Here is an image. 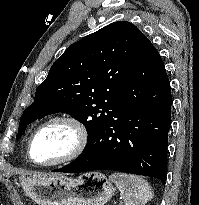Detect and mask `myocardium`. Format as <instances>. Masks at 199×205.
Returning <instances> with one entry per match:
<instances>
[{
	"label": "myocardium",
	"instance_id": "obj_1",
	"mask_svg": "<svg viewBox=\"0 0 199 205\" xmlns=\"http://www.w3.org/2000/svg\"><path fill=\"white\" fill-rule=\"evenodd\" d=\"M53 124H63L69 126L72 129L74 133L73 145L65 155H63L62 157L56 160L49 161V162H38L34 160L32 155V149H33L35 138L42 130H44L45 128ZM88 143H89V130L86 124L82 120H80L79 118L73 115H57L46 120L32 133L27 143V155L29 160L36 165H40L44 167L56 166L77 159L85 151Z\"/></svg>",
	"mask_w": 199,
	"mask_h": 205
}]
</instances>
